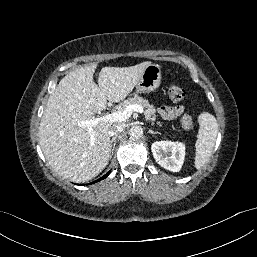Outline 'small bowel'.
Masks as SVG:
<instances>
[{"label": "small bowel", "mask_w": 257, "mask_h": 257, "mask_svg": "<svg viewBox=\"0 0 257 257\" xmlns=\"http://www.w3.org/2000/svg\"><path fill=\"white\" fill-rule=\"evenodd\" d=\"M160 111L165 118L172 119L182 114L184 111V107L183 106L162 107Z\"/></svg>", "instance_id": "obj_1"}]
</instances>
